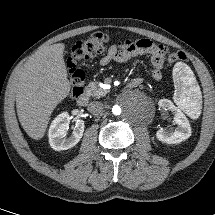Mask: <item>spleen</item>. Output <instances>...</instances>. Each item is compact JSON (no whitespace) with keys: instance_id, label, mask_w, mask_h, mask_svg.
<instances>
[{"instance_id":"obj_1","label":"spleen","mask_w":215,"mask_h":215,"mask_svg":"<svg viewBox=\"0 0 215 215\" xmlns=\"http://www.w3.org/2000/svg\"><path fill=\"white\" fill-rule=\"evenodd\" d=\"M174 101L188 114H192L201 106V92L195 78L184 63L174 66Z\"/></svg>"}]
</instances>
